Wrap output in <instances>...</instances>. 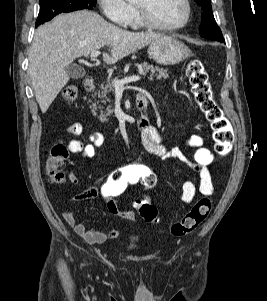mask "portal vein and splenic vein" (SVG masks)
Masks as SVG:
<instances>
[{
    "instance_id": "obj_1",
    "label": "portal vein and splenic vein",
    "mask_w": 267,
    "mask_h": 301,
    "mask_svg": "<svg viewBox=\"0 0 267 301\" xmlns=\"http://www.w3.org/2000/svg\"><path fill=\"white\" fill-rule=\"evenodd\" d=\"M99 53L100 52L98 50L93 51L90 54L91 59L95 60L98 57ZM140 79H141V77L139 75H134V76L126 77L121 80H114L113 85H114L115 89H123L125 84L130 83V82H136V81H139Z\"/></svg>"
}]
</instances>
